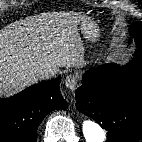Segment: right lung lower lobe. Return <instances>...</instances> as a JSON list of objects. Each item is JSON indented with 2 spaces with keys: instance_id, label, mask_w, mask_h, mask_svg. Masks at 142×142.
Returning <instances> with one entry per match:
<instances>
[{
  "instance_id": "98d812e1",
  "label": "right lung lower lobe",
  "mask_w": 142,
  "mask_h": 142,
  "mask_svg": "<svg viewBox=\"0 0 142 142\" xmlns=\"http://www.w3.org/2000/svg\"><path fill=\"white\" fill-rule=\"evenodd\" d=\"M61 79L35 84L6 99H0V142H36L37 129L53 110L67 107Z\"/></svg>"
}]
</instances>
